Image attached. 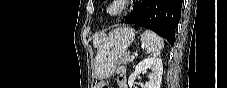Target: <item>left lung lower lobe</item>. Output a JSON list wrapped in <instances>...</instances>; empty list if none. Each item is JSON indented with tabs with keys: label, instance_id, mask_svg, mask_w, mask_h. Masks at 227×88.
<instances>
[{
	"label": "left lung lower lobe",
	"instance_id": "obj_1",
	"mask_svg": "<svg viewBox=\"0 0 227 88\" xmlns=\"http://www.w3.org/2000/svg\"><path fill=\"white\" fill-rule=\"evenodd\" d=\"M134 4L132 13L121 23L150 29L173 46L175 29L181 18L182 0H137Z\"/></svg>",
	"mask_w": 227,
	"mask_h": 88
}]
</instances>
